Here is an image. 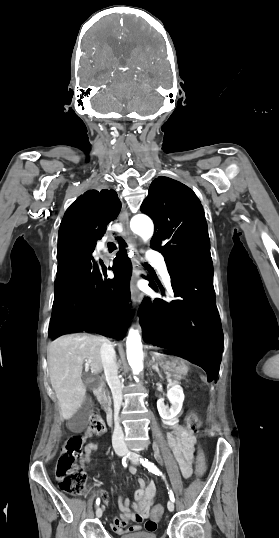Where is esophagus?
Listing matches in <instances>:
<instances>
[{
  "instance_id": "obj_1",
  "label": "esophagus",
  "mask_w": 279,
  "mask_h": 538,
  "mask_svg": "<svg viewBox=\"0 0 279 538\" xmlns=\"http://www.w3.org/2000/svg\"><path fill=\"white\" fill-rule=\"evenodd\" d=\"M118 221L122 224V236L125 238L126 242L129 245V248L132 252H134V255L131 257L132 266H133V272L131 277V284H130V290H131V296L133 303L136 304L139 301V291L137 288V280L139 278V258H138V251L136 247L135 238L130 230L129 227V217L126 211H122L118 217Z\"/></svg>"
}]
</instances>
